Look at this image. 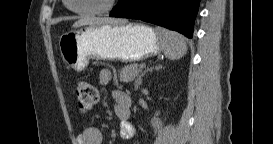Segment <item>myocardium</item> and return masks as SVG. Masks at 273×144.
Here are the masks:
<instances>
[{
	"instance_id": "obj_1",
	"label": "myocardium",
	"mask_w": 273,
	"mask_h": 144,
	"mask_svg": "<svg viewBox=\"0 0 273 144\" xmlns=\"http://www.w3.org/2000/svg\"><path fill=\"white\" fill-rule=\"evenodd\" d=\"M70 9L79 15H98L108 13L113 10L118 0H109L103 7L98 9H75L72 5V0H67Z\"/></svg>"
}]
</instances>
